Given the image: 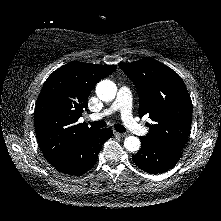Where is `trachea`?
Instances as JSON below:
<instances>
[{"instance_id": "1", "label": "trachea", "mask_w": 221, "mask_h": 221, "mask_svg": "<svg viewBox=\"0 0 221 221\" xmlns=\"http://www.w3.org/2000/svg\"><path fill=\"white\" fill-rule=\"evenodd\" d=\"M89 124L92 126V127H95V128H103L105 127L107 124L105 121H94V122H89ZM114 128L117 132H125L126 129L124 126H122L121 124H115L114 125Z\"/></svg>"}]
</instances>
